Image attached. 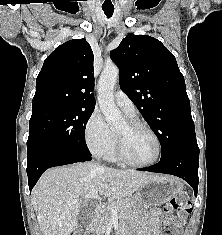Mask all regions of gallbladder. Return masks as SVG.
Listing matches in <instances>:
<instances>
[{
	"label": "gallbladder",
	"instance_id": "gallbladder-1",
	"mask_svg": "<svg viewBox=\"0 0 222 235\" xmlns=\"http://www.w3.org/2000/svg\"><path fill=\"white\" fill-rule=\"evenodd\" d=\"M95 213V206L91 203H87L83 205L80 209L79 215H78V235H81L83 231V227H85L88 223L91 222L92 218L94 217Z\"/></svg>",
	"mask_w": 222,
	"mask_h": 235
}]
</instances>
